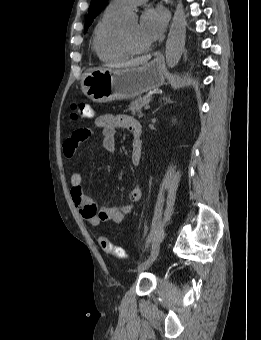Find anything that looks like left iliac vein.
Segmentation results:
<instances>
[{
	"label": "left iliac vein",
	"instance_id": "1",
	"mask_svg": "<svg viewBox=\"0 0 261 340\" xmlns=\"http://www.w3.org/2000/svg\"><path fill=\"white\" fill-rule=\"evenodd\" d=\"M154 259H147L145 261H143L137 268V272H142L146 269H148L151 264L153 263Z\"/></svg>",
	"mask_w": 261,
	"mask_h": 340
}]
</instances>
